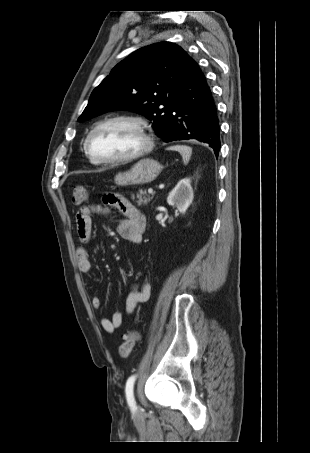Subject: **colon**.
<instances>
[{"label": "colon", "mask_w": 310, "mask_h": 453, "mask_svg": "<svg viewBox=\"0 0 310 453\" xmlns=\"http://www.w3.org/2000/svg\"><path fill=\"white\" fill-rule=\"evenodd\" d=\"M88 198V191L86 186L84 185H74L72 187V202L75 205H80L83 204L84 202L87 201ZM139 340V334L136 331H131L128 332L124 336V340L122 344L119 346V355L122 358H127L129 357L133 349L135 347V344Z\"/></svg>", "instance_id": "obj_1"}]
</instances>
